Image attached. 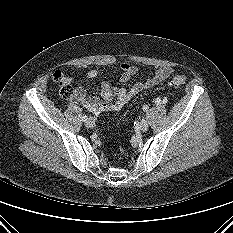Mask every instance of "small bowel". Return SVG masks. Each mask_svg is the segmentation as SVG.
<instances>
[{
  "label": "small bowel",
  "mask_w": 233,
  "mask_h": 233,
  "mask_svg": "<svg viewBox=\"0 0 233 233\" xmlns=\"http://www.w3.org/2000/svg\"><path fill=\"white\" fill-rule=\"evenodd\" d=\"M115 69L120 71L119 79L121 83H127L138 73V68L130 63H122ZM100 73V70L92 69L88 72V78H96ZM172 73L171 67L158 68L146 79L135 82L128 89L123 86L116 87L110 81H104L101 84L100 96H87L82 88H75L72 99L96 115L108 111H117L140 92L157 86ZM66 80L70 82V79L66 78Z\"/></svg>",
  "instance_id": "1"
}]
</instances>
